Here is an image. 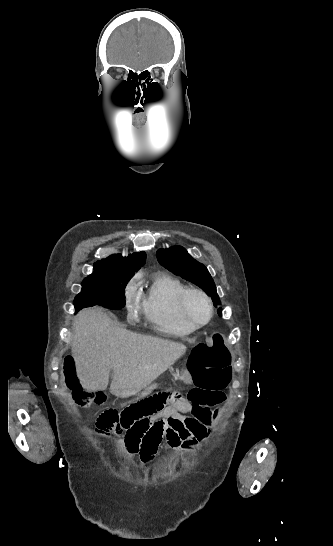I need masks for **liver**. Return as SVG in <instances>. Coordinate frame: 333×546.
Masks as SVG:
<instances>
[{
	"instance_id": "obj_1",
	"label": "liver",
	"mask_w": 333,
	"mask_h": 546,
	"mask_svg": "<svg viewBox=\"0 0 333 546\" xmlns=\"http://www.w3.org/2000/svg\"><path fill=\"white\" fill-rule=\"evenodd\" d=\"M73 328L75 372L88 392L105 390L113 370L110 392L121 398L135 395L186 352L181 343L139 335L114 325L99 307L80 311Z\"/></svg>"
}]
</instances>
